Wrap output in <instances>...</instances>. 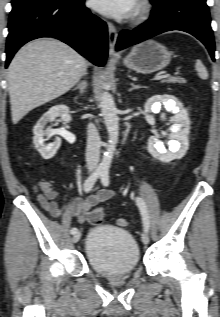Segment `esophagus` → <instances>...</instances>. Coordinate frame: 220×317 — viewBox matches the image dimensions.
<instances>
[{"label":"esophagus","mask_w":220,"mask_h":317,"mask_svg":"<svg viewBox=\"0 0 220 317\" xmlns=\"http://www.w3.org/2000/svg\"><path fill=\"white\" fill-rule=\"evenodd\" d=\"M108 26V39H109V56L110 57H115L116 52H115V45L117 42V29L111 22H107Z\"/></svg>","instance_id":"34e87169"}]
</instances>
